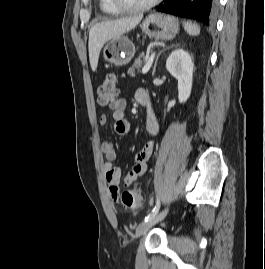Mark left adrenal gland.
Masks as SVG:
<instances>
[{
    "instance_id": "a2214340",
    "label": "left adrenal gland",
    "mask_w": 265,
    "mask_h": 269,
    "mask_svg": "<svg viewBox=\"0 0 265 269\" xmlns=\"http://www.w3.org/2000/svg\"><path fill=\"white\" fill-rule=\"evenodd\" d=\"M173 46H175V45H172L171 47H173ZM163 51H165V49H163L162 51H160V52L158 53L156 59H155V63H154V67H153V72H152V75H153V76H154L155 71H156L157 61H158L159 56L161 55V53H162Z\"/></svg>"
}]
</instances>
